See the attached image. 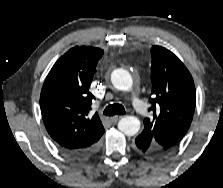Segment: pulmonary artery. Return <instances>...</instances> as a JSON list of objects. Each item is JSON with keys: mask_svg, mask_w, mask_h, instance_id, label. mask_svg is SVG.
<instances>
[{"mask_svg": "<svg viewBox=\"0 0 223 188\" xmlns=\"http://www.w3.org/2000/svg\"><path fill=\"white\" fill-rule=\"evenodd\" d=\"M132 105L138 113H140L141 115L145 114L146 108L143 102L138 97H133Z\"/></svg>", "mask_w": 223, "mask_h": 188, "instance_id": "obj_1", "label": "pulmonary artery"}]
</instances>
